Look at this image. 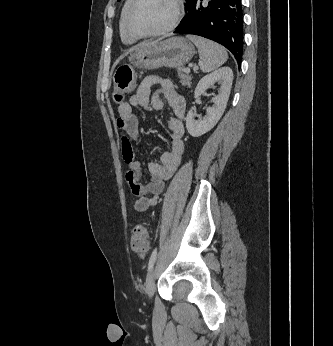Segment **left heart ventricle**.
Listing matches in <instances>:
<instances>
[{
    "label": "left heart ventricle",
    "instance_id": "1",
    "mask_svg": "<svg viewBox=\"0 0 333 346\" xmlns=\"http://www.w3.org/2000/svg\"><path fill=\"white\" fill-rule=\"evenodd\" d=\"M174 13L173 0H141L133 13L132 26L139 31H158L171 23Z\"/></svg>",
    "mask_w": 333,
    "mask_h": 346
}]
</instances>
